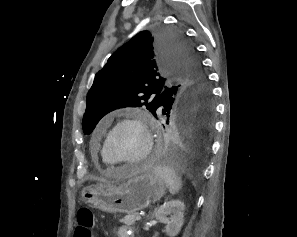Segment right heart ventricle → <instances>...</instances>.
Listing matches in <instances>:
<instances>
[{
    "label": "right heart ventricle",
    "instance_id": "right-heart-ventricle-1",
    "mask_svg": "<svg viewBox=\"0 0 297 237\" xmlns=\"http://www.w3.org/2000/svg\"><path fill=\"white\" fill-rule=\"evenodd\" d=\"M101 158H102V161L104 162V164L108 167H113L115 166V163L108 157V155L106 154L105 150H104V144L101 148Z\"/></svg>",
    "mask_w": 297,
    "mask_h": 237
}]
</instances>
